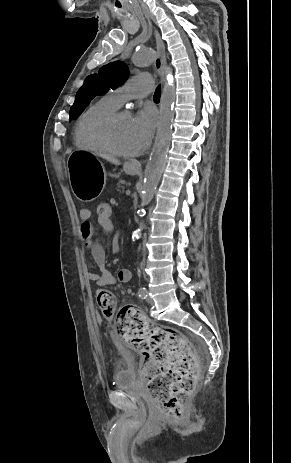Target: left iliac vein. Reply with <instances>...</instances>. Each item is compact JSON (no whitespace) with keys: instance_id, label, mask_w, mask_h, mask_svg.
Returning <instances> with one entry per match:
<instances>
[{"instance_id":"left-iliac-vein-1","label":"left iliac vein","mask_w":291,"mask_h":463,"mask_svg":"<svg viewBox=\"0 0 291 463\" xmlns=\"http://www.w3.org/2000/svg\"><path fill=\"white\" fill-rule=\"evenodd\" d=\"M146 301H147L148 304H153L154 303V300L150 296L147 297Z\"/></svg>"}]
</instances>
